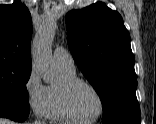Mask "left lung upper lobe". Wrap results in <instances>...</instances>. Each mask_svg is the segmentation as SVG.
Returning <instances> with one entry per match:
<instances>
[{
	"mask_svg": "<svg viewBox=\"0 0 156 124\" xmlns=\"http://www.w3.org/2000/svg\"><path fill=\"white\" fill-rule=\"evenodd\" d=\"M71 54L99 95L103 124H141L130 35L117 11L98 2L66 16Z\"/></svg>",
	"mask_w": 156,
	"mask_h": 124,
	"instance_id": "left-lung-upper-lobe-1",
	"label": "left lung upper lobe"
}]
</instances>
